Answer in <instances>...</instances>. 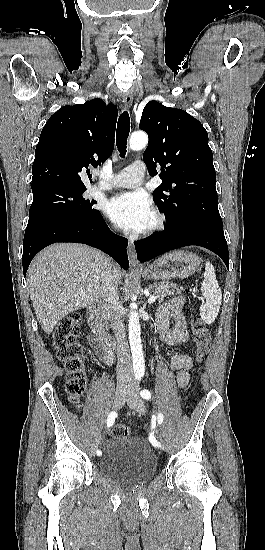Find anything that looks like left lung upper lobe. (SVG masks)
Wrapping results in <instances>:
<instances>
[{
	"label": "left lung upper lobe",
	"instance_id": "obj_1",
	"mask_svg": "<svg viewBox=\"0 0 265 550\" xmlns=\"http://www.w3.org/2000/svg\"><path fill=\"white\" fill-rule=\"evenodd\" d=\"M139 127L149 136L143 154L149 174L154 176L156 167L161 168L162 184L153 196L165 214L166 227L185 220L223 227L213 154L203 125L183 110L150 101Z\"/></svg>",
	"mask_w": 265,
	"mask_h": 550
}]
</instances>
